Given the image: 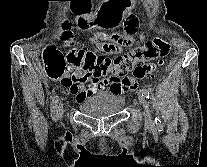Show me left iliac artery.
<instances>
[{
  "label": "left iliac artery",
  "instance_id": "44dca946",
  "mask_svg": "<svg viewBox=\"0 0 207 167\" xmlns=\"http://www.w3.org/2000/svg\"><path fill=\"white\" fill-rule=\"evenodd\" d=\"M142 95H144L147 99L150 98V93H149L148 89H146V88L142 89ZM155 123L158 128H162L161 120L159 118H157V117L155 118Z\"/></svg>",
  "mask_w": 207,
  "mask_h": 167
}]
</instances>
